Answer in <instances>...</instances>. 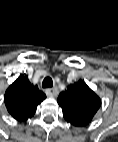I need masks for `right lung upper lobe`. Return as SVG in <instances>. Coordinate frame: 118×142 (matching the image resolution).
Returning <instances> with one entry per match:
<instances>
[{"label": "right lung upper lobe", "instance_id": "obj_1", "mask_svg": "<svg viewBox=\"0 0 118 142\" xmlns=\"http://www.w3.org/2000/svg\"><path fill=\"white\" fill-rule=\"evenodd\" d=\"M45 98L37 85L31 84L27 76L20 75L6 90L4 102L14 119L26 121Z\"/></svg>", "mask_w": 118, "mask_h": 142}]
</instances>
